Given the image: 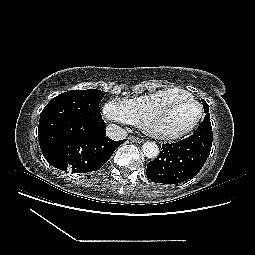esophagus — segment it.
<instances>
[{
  "mask_svg": "<svg viewBox=\"0 0 255 255\" xmlns=\"http://www.w3.org/2000/svg\"><path fill=\"white\" fill-rule=\"evenodd\" d=\"M129 140L134 142V143H141L143 140L138 138V137H134V136H130Z\"/></svg>",
  "mask_w": 255,
  "mask_h": 255,
  "instance_id": "1",
  "label": "esophagus"
}]
</instances>
